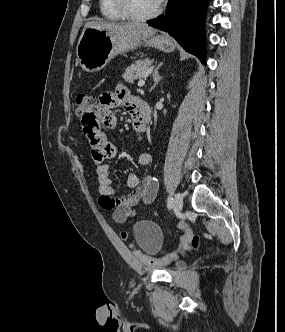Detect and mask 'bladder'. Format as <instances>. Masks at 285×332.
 I'll use <instances>...</instances> for the list:
<instances>
[{"label": "bladder", "instance_id": "1", "mask_svg": "<svg viewBox=\"0 0 285 332\" xmlns=\"http://www.w3.org/2000/svg\"><path fill=\"white\" fill-rule=\"evenodd\" d=\"M134 241L136 246L146 253L157 251L162 242V232L157 224L152 221L138 222L133 229ZM185 268V263L176 262L174 269Z\"/></svg>", "mask_w": 285, "mask_h": 332}]
</instances>
